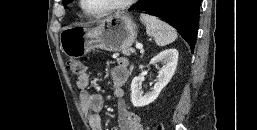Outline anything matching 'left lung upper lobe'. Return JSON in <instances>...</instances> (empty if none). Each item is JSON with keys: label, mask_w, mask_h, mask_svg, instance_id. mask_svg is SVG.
<instances>
[{"label": "left lung upper lobe", "mask_w": 257, "mask_h": 130, "mask_svg": "<svg viewBox=\"0 0 257 130\" xmlns=\"http://www.w3.org/2000/svg\"><path fill=\"white\" fill-rule=\"evenodd\" d=\"M71 0H63V4H64V6H66L69 2H70ZM141 0H139L138 2H140ZM137 2V3H138Z\"/></svg>", "instance_id": "5c2ea615"}]
</instances>
